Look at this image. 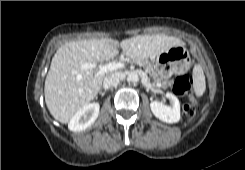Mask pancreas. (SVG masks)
<instances>
[{"label":"pancreas","mask_w":245,"mask_h":170,"mask_svg":"<svg viewBox=\"0 0 245 170\" xmlns=\"http://www.w3.org/2000/svg\"><path fill=\"white\" fill-rule=\"evenodd\" d=\"M131 63H135L145 69V71L149 74V76L156 83H161L162 88H167L172 85V80H166L159 76L155 66L146 58H131Z\"/></svg>","instance_id":"cf45deb5"}]
</instances>
